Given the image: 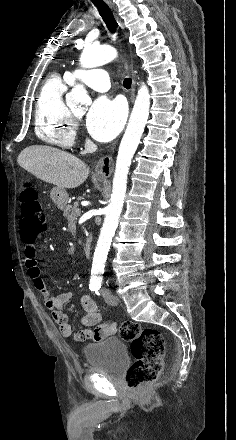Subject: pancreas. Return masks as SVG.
Here are the masks:
<instances>
[{
  "label": "pancreas",
  "instance_id": "pancreas-1",
  "mask_svg": "<svg viewBox=\"0 0 236 440\" xmlns=\"http://www.w3.org/2000/svg\"><path fill=\"white\" fill-rule=\"evenodd\" d=\"M78 209V204H74V205H68L65 209H64V217L68 220H72L77 218L79 215L76 213V210Z\"/></svg>",
  "mask_w": 236,
  "mask_h": 440
}]
</instances>
